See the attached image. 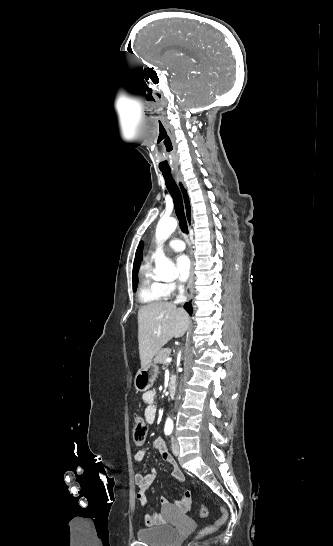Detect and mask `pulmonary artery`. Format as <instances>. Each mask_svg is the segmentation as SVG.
<instances>
[{
  "label": "pulmonary artery",
  "mask_w": 333,
  "mask_h": 546,
  "mask_svg": "<svg viewBox=\"0 0 333 546\" xmlns=\"http://www.w3.org/2000/svg\"><path fill=\"white\" fill-rule=\"evenodd\" d=\"M168 247L173 251L180 252L185 249V244L182 240L175 238L169 241Z\"/></svg>",
  "instance_id": "pulmonary-artery-1"
}]
</instances>
